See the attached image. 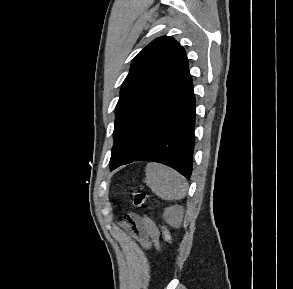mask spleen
<instances>
[{"label":"spleen","instance_id":"1","mask_svg":"<svg viewBox=\"0 0 293 289\" xmlns=\"http://www.w3.org/2000/svg\"><path fill=\"white\" fill-rule=\"evenodd\" d=\"M144 182L158 197L165 200H180L187 193L185 179L175 170L157 163L146 166Z\"/></svg>","mask_w":293,"mask_h":289}]
</instances>
